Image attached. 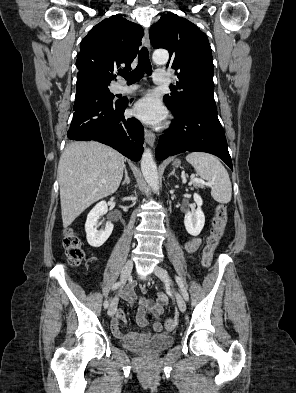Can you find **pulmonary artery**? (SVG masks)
Segmentation results:
<instances>
[{"mask_svg": "<svg viewBox=\"0 0 296 393\" xmlns=\"http://www.w3.org/2000/svg\"><path fill=\"white\" fill-rule=\"evenodd\" d=\"M153 81L156 84H163L166 83L168 81V74L167 72L163 71V70H157L154 73L153 76ZM137 89V86H125L122 84H118L115 88V91L117 93H121V94H128V93H132Z\"/></svg>", "mask_w": 296, "mask_h": 393, "instance_id": "obj_1", "label": "pulmonary artery"}]
</instances>
